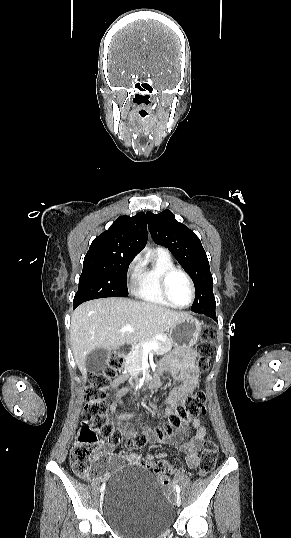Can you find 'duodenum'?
Instances as JSON below:
<instances>
[{
	"label": "duodenum",
	"instance_id": "duodenum-1",
	"mask_svg": "<svg viewBox=\"0 0 291 538\" xmlns=\"http://www.w3.org/2000/svg\"><path fill=\"white\" fill-rule=\"evenodd\" d=\"M118 351L121 355L126 356L131 353L132 348L130 346H123L120 347ZM132 377H141V374H132ZM136 381H138L136 383V386L138 388H141L143 386V383L139 381V378H136ZM132 386H135V383H132ZM134 394H137V391H134Z\"/></svg>",
	"mask_w": 291,
	"mask_h": 538
}]
</instances>
